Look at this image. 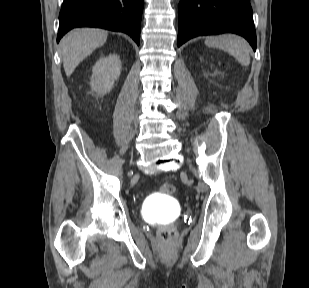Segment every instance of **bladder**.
Masks as SVG:
<instances>
[{"instance_id":"obj_1","label":"bladder","mask_w":309,"mask_h":288,"mask_svg":"<svg viewBox=\"0 0 309 288\" xmlns=\"http://www.w3.org/2000/svg\"><path fill=\"white\" fill-rule=\"evenodd\" d=\"M170 194L162 197L150 199L145 208L146 217L152 222H159L163 219L174 216L177 212V205Z\"/></svg>"}]
</instances>
